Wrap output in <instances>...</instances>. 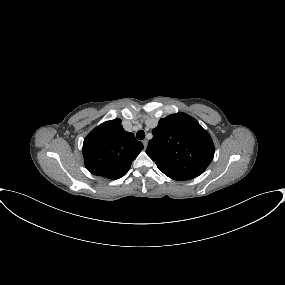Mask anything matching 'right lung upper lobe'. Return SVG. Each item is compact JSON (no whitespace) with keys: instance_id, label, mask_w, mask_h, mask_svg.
Instances as JSON below:
<instances>
[{"instance_id":"cb5924a9","label":"right lung upper lobe","mask_w":285,"mask_h":285,"mask_svg":"<svg viewBox=\"0 0 285 285\" xmlns=\"http://www.w3.org/2000/svg\"><path fill=\"white\" fill-rule=\"evenodd\" d=\"M134 134L123 129L120 119L104 122L84 139L86 168L94 175L108 179L124 176L143 149Z\"/></svg>"}]
</instances>
